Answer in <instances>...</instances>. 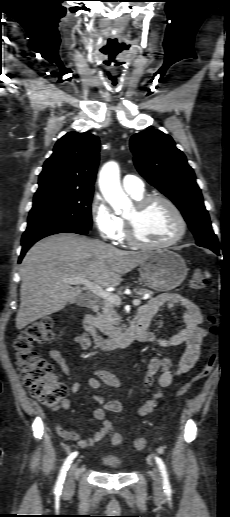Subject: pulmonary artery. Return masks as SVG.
Wrapping results in <instances>:
<instances>
[{"label": "pulmonary artery", "mask_w": 230, "mask_h": 517, "mask_svg": "<svg viewBox=\"0 0 230 517\" xmlns=\"http://www.w3.org/2000/svg\"><path fill=\"white\" fill-rule=\"evenodd\" d=\"M124 190L130 195H141L144 193V184L142 180L134 175H126L122 179Z\"/></svg>", "instance_id": "obj_1"}]
</instances>
